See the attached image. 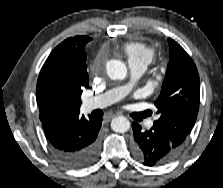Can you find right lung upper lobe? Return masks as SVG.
Listing matches in <instances>:
<instances>
[{
  "label": "right lung upper lobe",
  "mask_w": 223,
  "mask_h": 188,
  "mask_svg": "<svg viewBox=\"0 0 223 188\" xmlns=\"http://www.w3.org/2000/svg\"><path fill=\"white\" fill-rule=\"evenodd\" d=\"M91 39L70 37L54 48L45 61L36 87L42 123L79 116L82 89L89 86L84 47Z\"/></svg>",
  "instance_id": "cb5924a9"
}]
</instances>
